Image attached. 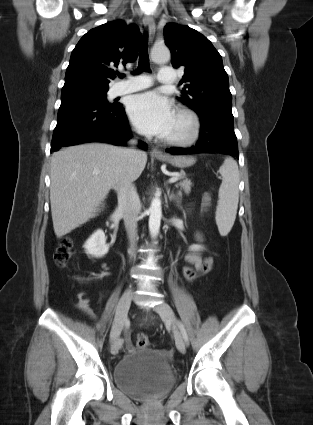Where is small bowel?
<instances>
[{
    "mask_svg": "<svg viewBox=\"0 0 313 425\" xmlns=\"http://www.w3.org/2000/svg\"><path fill=\"white\" fill-rule=\"evenodd\" d=\"M205 200H208V197L206 196ZM185 260L187 261V263L191 266L194 267L196 270L200 271L202 269L204 260L202 259V257L197 254V253H193L190 252L185 256ZM77 300H78V308L83 311L85 314H87L88 316L94 318L95 314L92 312V310L89 307L90 304V298L87 295V293L85 292H79L77 294Z\"/></svg>",
    "mask_w": 313,
    "mask_h": 425,
    "instance_id": "small-bowel-1",
    "label": "small bowel"
}]
</instances>
